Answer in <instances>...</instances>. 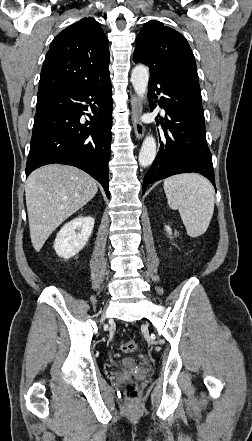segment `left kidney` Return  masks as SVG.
I'll return each mask as SVG.
<instances>
[{
    "label": "left kidney",
    "mask_w": 252,
    "mask_h": 441,
    "mask_svg": "<svg viewBox=\"0 0 252 441\" xmlns=\"http://www.w3.org/2000/svg\"><path fill=\"white\" fill-rule=\"evenodd\" d=\"M165 228H166V231L169 233V234H171V228L169 227V226H165Z\"/></svg>",
    "instance_id": "5707ae66"
}]
</instances>
